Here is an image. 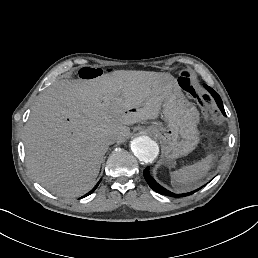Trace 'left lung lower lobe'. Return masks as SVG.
Instances as JSON below:
<instances>
[{"instance_id":"left-lung-lower-lobe-1","label":"left lung lower lobe","mask_w":258,"mask_h":258,"mask_svg":"<svg viewBox=\"0 0 258 258\" xmlns=\"http://www.w3.org/2000/svg\"><path fill=\"white\" fill-rule=\"evenodd\" d=\"M204 87L211 93V95L214 97L218 107L220 108L221 112L226 116L224 107H223V103L222 100L220 98V96L210 87H208L207 85H204ZM144 177L145 180L147 181V183L149 184V186L156 192L163 194V195H167V196H172V197H184V196H188L193 194L194 192L198 191L199 189L189 192V193H185V194H174L168 190H166L165 188H163L161 185H159L153 178L152 176L149 174V168L147 167L144 170Z\"/></svg>"}]
</instances>
